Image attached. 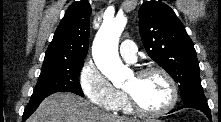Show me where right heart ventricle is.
<instances>
[{
	"label": "right heart ventricle",
	"mask_w": 221,
	"mask_h": 122,
	"mask_svg": "<svg viewBox=\"0 0 221 122\" xmlns=\"http://www.w3.org/2000/svg\"><path fill=\"white\" fill-rule=\"evenodd\" d=\"M113 110L117 111V112L124 113V114H131V113H133V110L130 107V105H129V103H128L124 93L119 92V97H118V100H117Z\"/></svg>",
	"instance_id": "right-heart-ventricle-1"
}]
</instances>
